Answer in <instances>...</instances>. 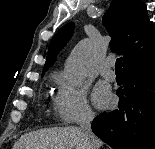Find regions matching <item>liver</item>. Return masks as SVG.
Returning <instances> with one entry per match:
<instances>
[{
	"label": "liver",
	"mask_w": 155,
	"mask_h": 149,
	"mask_svg": "<svg viewBox=\"0 0 155 149\" xmlns=\"http://www.w3.org/2000/svg\"><path fill=\"white\" fill-rule=\"evenodd\" d=\"M99 141V146L102 142ZM13 149H88L84 132L75 126L41 129L22 135Z\"/></svg>",
	"instance_id": "obj_1"
}]
</instances>
